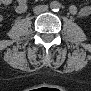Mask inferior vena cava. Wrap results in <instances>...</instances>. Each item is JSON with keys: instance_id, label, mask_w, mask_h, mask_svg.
Here are the masks:
<instances>
[{"instance_id": "602c4592", "label": "inferior vena cava", "mask_w": 91, "mask_h": 91, "mask_svg": "<svg viewBox=\"0 0 91 91\" xmlns=\"http://www.w3.org/2000/svg\"><path fill=\"white\" fill-rule=\"evenodd\" d=\"M47 10H48L47 5H39V6L34 7V9H33L34 13H36V14H39L41 12H45Z\"/></svg>"}]
</instances>
